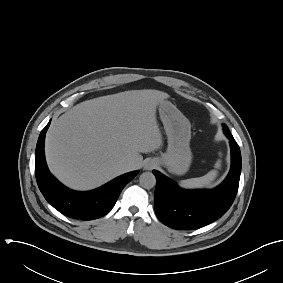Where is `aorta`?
<instances>
[{
    "label": "aorta",
    "instance_id": "1",
    "mask_svg": "<svg viewBox=\"0 0 283 283\" xmlns=\"http://www.w3.org/2000/svg\"><path fill=\"white\" fill-rule=\"evenodd\" d=\"M140 185L145 189H151L156 185V178L151 172H144L139 177Z\"/></svg>",
    "mask_w": 283,
    "mask_h": 283
}]
</instances>
